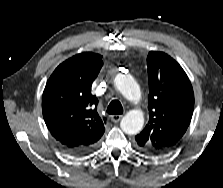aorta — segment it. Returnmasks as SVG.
<instances>
[{"label":"aorta","instance_id":"aorta-1","mask_svg":"<svg viewBox=\"0 0 223 188\" xmlns=\"http://www.w3.org/2000/svg\"><path fill=\"white\" fill-rule=\"evenodd\" d=\"M114 83L120 93L129 101L136 102L141 98L140 87L130 74H117ZM144 125L143 113L139 110L128 112L121 120L120 127L126 134L139 133Z\"/></svg>","mask_w":223,"mask_h":188}]
</instances>
